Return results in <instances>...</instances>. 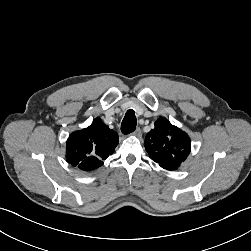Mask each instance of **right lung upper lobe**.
<instances>
[{
	"label": "right lung upper lobe",
	"mask_w": 251,
	"mask_h": 251,
	"mask_svg": "<svg viewBox=\"0 0 251 251\" xmlns=\"http://www.w3.org/2000/svg\"><path fill=\"white\" fill-rule=\"evenodd\" d=\"M118 142L117 133L96 118L89 127L69 136L66 158L72 166L91 171L103 164Z\"/></svg>",
	"instance_id": "right-lung-upper-lobe-1"
}]
</instances>
